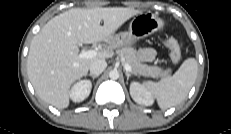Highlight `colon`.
<instances>
[{
    "label": "colon",
    "mask_w": 231,
    "mask_h": 134,
    "mask_svg": "<svg viewBox=\"0 0 231 134\" xmlns=\"http://www.w3.org/2000/svg\"><path fill=\"white\" fill-rule=\"evenodd\" d=\"M162 44L170 50V58L174 64L179 63L181 59V48L179 43L172 38L162 40Z\"/></svg>",
    "instance_id": "1"
}]
</instances>
